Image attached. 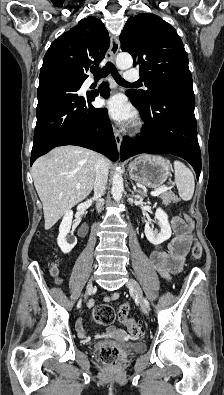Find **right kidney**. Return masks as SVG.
I'll return each mask as SVG.
<instances>
[{
	"label": "right kidney",
	"mask_w": 224,
	"mask_h": 395,
	"mask_svg": "<svg viewBox=\"0 0 224 395\" xmlns=\"http://www.w3.org/2000/svg\"><path fill=\"white\" fill-rule=\"evenodd\" d=\"M72 219L73 211L69 210L64 214L59 227L57 243L64 254L69 253L77 244V238L73 234H70Z\"/></svg>",
	"instance_id": "right-kidney-1"
}]
</instances>
